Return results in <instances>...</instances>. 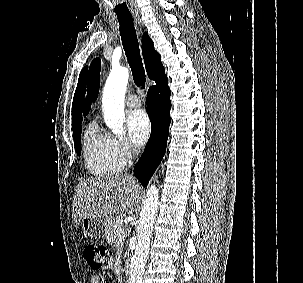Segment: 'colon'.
Instances as JSON below:
<instances>
[{"instance_id":"5ec220e1","label":"colon","mask_w":303,"mask_h":283,"mask_svg":"<svg viewBox=\"0 0 303 283\" xmlns=\"http://www.w3.org/2000/svg\"><path fill=\"white\" fill-rule=\"evenodd\" d=\"M110 256L109 248L100 243H88L82 249V257L92 270H100Z\"/></svg>"}]
</instances>
